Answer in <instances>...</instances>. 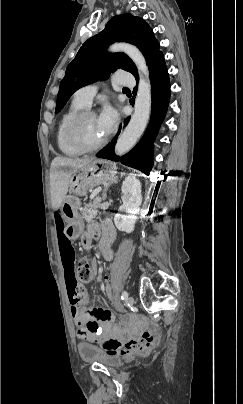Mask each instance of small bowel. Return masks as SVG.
Segmentation results:
<instances>
[{
	"mask_svg": "<svg viewBox=\"0 0 243 404\" xmlns=\"http://www.w3.org/2000/svg\"><path fill=\"white\" fill-rule=\"evenodd\" d=\"M64 220L59 212L55 214V228L58 239V246L63 266L64 278L69 299L71 301V315L77 327V335L80 339L89 342H98L102 338L117 334L114 324V316L111 311L102 308L86 309L74 303L71 299L72 293L81 291L75 277V252L73 246L65 234ZM98 233L97 227L91 224L88 232L83 236V245L86 249L91 247V235ZM115 238V230L110 222H105L102 228V238L99 248L106 260H111V244Z\"/></svg>",
	"mask_w": 243,
	"mask_h": 404,
	"instance_id": "1",
	"label": "small bowel"
}]
</instances>
